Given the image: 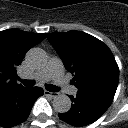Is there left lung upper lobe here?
Returning a JSON list of instances; mask_svg holds the SVG:
<instances>
[{
	"label": "left lung upper lobe",
	"instance_id": "left-lung-upper-lobe-1",
	"mask_svg": "<svg viewBox=\"0 0 128 128\" xmlns=\"http://www.w3.org/2000/svg\"><path fill=\"white\" fill-rule=\"evenodd\" d=\"M47 38L61 57L66 69L74 74L71 83L78 92L115 95L119 68L102 41L79 31L47 33Z\"/></svg>",
	"mask_w": 128,
	"mask_h": 128
}]
</instances>
